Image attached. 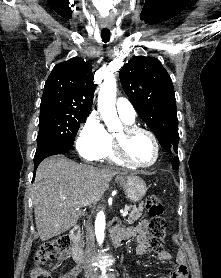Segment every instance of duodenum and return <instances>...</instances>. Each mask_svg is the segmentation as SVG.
<instances>
[{"mask_svg":"<svg viewBox=\"0 0 221 278\" xmlns=\"http://www.w3.org/2000/svg\"><path fill=\"white\" fill-rule=\"evenodd\" d=\"M110 233L112 236L113 243L115 245L120 244V242L127 237L126 230H123L118 224L113 223L111 224ZM70 238L72 240V248H71V254L72 258L79 266L83 262L84 253L83 249L81 247L80 241H81V228L80 227H74L70 231Z\"/></svg>","mask_w":221,"mask_h":278,"instance_id":"410a0bca","label":"duodenum"}]
</instances>
